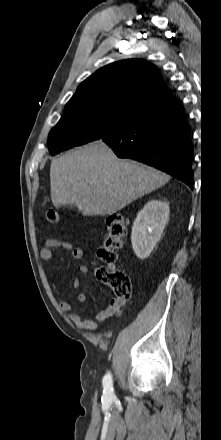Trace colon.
Returning <instances> with one entry per match:
<instances>
[{
	"label": "colon",
	"instance_id": "colon-1",
	"mask_svg": "<svg viewBox=\"0 0 221 440\" xmlns=\"http://www.w3.org/2000/svg\"><path fill=\"white\" fill-rule=\"evenodd\" d=\"M47 218L51 222L58 221V215L54 211L47 213ZM108 236L104 245L97 250V256L103 263L97 268L98 279L107 284L113 291L115 297L119 299H129L132 295V285L127 273L113 268V263L118 258L123 239L127 229L124 218L118 213H112L107 218Z\"/></svg>",
	"mask_w": 221,
	"mask_h": 440
}]
</instances>
